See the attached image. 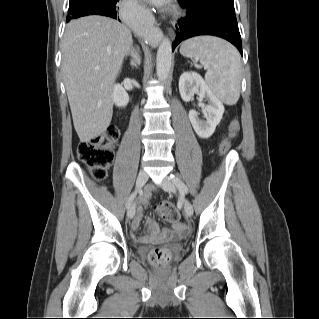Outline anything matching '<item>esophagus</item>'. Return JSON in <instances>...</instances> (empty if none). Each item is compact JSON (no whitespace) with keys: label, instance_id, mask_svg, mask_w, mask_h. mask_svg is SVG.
<instances>
[{"label":"esophagus","instance_id":"34e87169","mask_svg":"<svg viewBox=\"0 0 319 319\" xmlns=\"http://www.w3.org/2000/svg\"><path fill=\"white\" fill-rule=\"evenodd\" d=\"M163 34L160 28H156L155 30V39L153 40L152 44L158 45L159 41L161 40Z\"/></svg>","mask_w":319,"mask_h":319}]
</instances>
